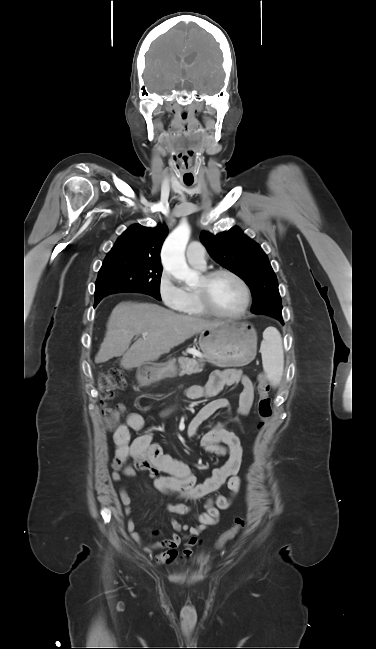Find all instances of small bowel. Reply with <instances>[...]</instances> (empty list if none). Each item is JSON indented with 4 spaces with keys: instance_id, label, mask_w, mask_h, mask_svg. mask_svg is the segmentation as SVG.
<instances>
[{
    "instance_id": "c3829d8e",
    "label": "small bowel",
    "mask_w": 376,
    "mask_h": 649,
    "mask_svg": "<svg viewBox=\"0 0 376 649\" xmlns=\"http://www.w3.org/2000/svg\"><path fill=\"white\" fill-rule=\"evenodd\" d=\"M238 383L243 386L239 397L238 413L246 415L253 402V385L251 380L236 368L213 372L204 386L188 387L186 396L192 400L204 396L211 397L218 394L225 386ZM220 410L229 411V402L226 399L218 398L206 403L190 421L187 427L188 435L194 436L199 426ZM172 411L173 408H167L161 415L168 416ZM144 424L143 416L133 412L127 416L126 423L118 426L113 433L115 454L111 464V478L115 483L125 477L135 476L137 470H142L153 479V486L160 493L177 495L190 501L202 499L226 483L233 494L239 490L241 481L237 475L242 464L243 448L239 437L227 430L223 424L215 425L202 437L201 445L207 453L227 456L226 462L215 468L211 476L203 482H197L188 464L165 454L162 447L152 441L151 433L146 432L132 440L131 430L140 431ZM159 473L166 475L160 476ZM119 498L126 516L129 517L127 529L131 538L148 553L152 550H162L156 555L158 563H171L177 559L178 548L181 545H184L182 557L189 558L192 549L201 543L200 534L218 522L220 510L228 508L231 502L229 497L222 495L209 499L205 511L195 514L196 525L182 524L172 518L170 524L174 532L170 537L147 543L136 531L131 517L132 500L125 486L119 488ZM167 509L171 514L176 515H185L192 511L191 507L184 503H170Z\"/></svg>"
}]
</instances>
